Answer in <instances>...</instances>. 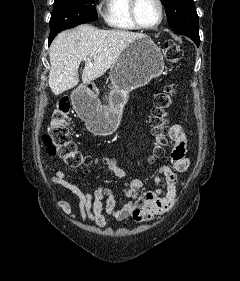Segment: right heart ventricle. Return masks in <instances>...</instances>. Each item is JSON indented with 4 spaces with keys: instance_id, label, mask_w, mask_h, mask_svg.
<instances>
[{
    "instance_id": "e07e8e85",
    "label": "right heart ventricle",
    "mask_w": 240,
    "mask_h": 281,
    "mask_svg": "<svg viewBox=\"0 0 240 281\" xmlns=\"http://www.w3.org/2000/svg\"><path fill=\"white\" fill-rule=\"evenodd\" d=\"M129 4L130 0H105L104 18L108 26L121 31L138 29L130 18Z\"/></svg>"
}]
</instances>
